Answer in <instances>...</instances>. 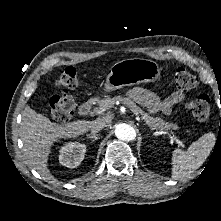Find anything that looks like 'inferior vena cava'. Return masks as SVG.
Wrapping results in <instances>:
<instances>
[{"mask_svg":"<svg viewBox=\"0 0 221 221\" xmlns=\"http://www.w3.org/2000/svg\"><path fill=\"white\" fill-rule=\"evenodd\" d=\"M106 127V124L104 122H96L92 127H91V133L96 134L98 131Z\"/></svg>","mask_w":221,"mask_h":221,"instance_id":"obj_1","label":"inferior vena cava"}]
</instances>
